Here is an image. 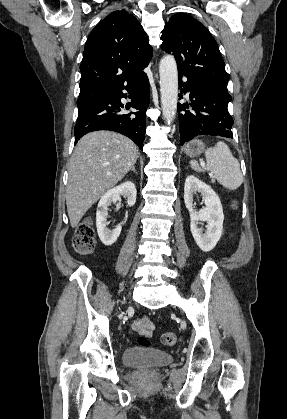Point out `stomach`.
<instances>
[{
	"label": "stomach",
	"instance_id": "stomach-1",
	"mask_svg": "<svg viewBox=\"0 0 287 419\" xmlns=\"http://www.w3.org/2000/svg\"><path fill=\"white\" fill-rule=\"evenodd\" d=\"M204 146L202 141L195 139L185 145L184 151L188 156L196 157L203 152Z\"/></svg>",
	"mask_w": 287,
	"mask_h": 419
}]
</instances>
